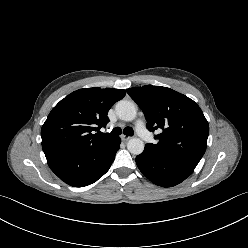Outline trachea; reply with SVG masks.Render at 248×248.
<instances>
[{"label":"trachea","instance_id":"trachea-1","mask_svg":"<svg viewBox=\"0 0 248 248\" xmlns=\"http://www.w3.org/2000/svg\"><path fill=\"white\" fill-rule=\"evenodd\" d=\"M122 133L121 129L119 127H115L113 128V130L110 132V135H113V136H118ZM123 133L125 135H128V136H132L134 134L133 132V129L132 128H129V127H126L124 130H123Z\"/></svg>","mask_w":248,"mask_h":248}]
</instances>
